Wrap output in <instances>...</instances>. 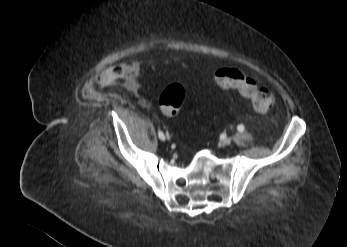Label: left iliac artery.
Returning a JSON list of instances; mask_svg holds the SVG:
<instances>
[{
    "instance_id": "obj_1",
    "label": "left iliac artery",
    "mask_w": 347,
    "mask_h": 247,
    "mask_svg": "<svg viewBox=\"0 0 347 247\" xmlns=\"http://www.w3.org/2000/svg\"><path fill=\"white\" fill-rule=\"evenodd\" d=\"M237 129L239 132H243L245 130V127H244V125L240 124L237 126Z\"/></svg>"
}]
</instances>
